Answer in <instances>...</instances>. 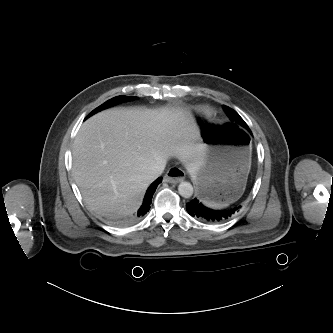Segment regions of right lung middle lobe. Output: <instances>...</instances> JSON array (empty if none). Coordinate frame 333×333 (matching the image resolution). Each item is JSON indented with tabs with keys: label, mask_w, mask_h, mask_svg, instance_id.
Returning a JSON list of instances; mask_svg holds the SVG:
<instances>
[{
	"label": "right lung middle lobe",
	"mask_w": 333,
	"mask_h": 333,
	"mask_svg": "<svg viewBox=\"0 0 333 333\" xmlns=\"http://www.w3.org/2000/svg\"><path fill=\"white\" fill-rule=\"evenodd\" d=\"M136 97H133V96H117V97H114L110 100H108L107 102H105L104 104H102L101 106L97 107L96 109H94L86 118H88L89 116L105 109V108H108L110 106H113L115 104H118L120 102H124V101H130V100H133L135 99Z\"/></svg>",
	"instance_id": "obj_1"
}]
</instances>
